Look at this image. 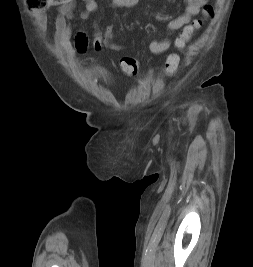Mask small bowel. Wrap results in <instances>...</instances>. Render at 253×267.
Here are the masks:
<instances>
[{"mask_svg":"<svg viewBox=\"0 0 253 267\" xmlns=\"http://www.w3.org/2000/svg\"><path fill=\"white\" fill-rule=\"evenodd\" d=\"M110 5L117 8L133 9L138 6L139 0H108ZM84 10L80 14L82 20H86L98 8L96 0H82ZM184 12L169 20L165 24L167 31H175L184 26L189 25L193 18L196 17L207 4V0H184ZM76 0H67V2L58 10L55 18V45L59 52L73 57L76 53H83L87 50L89 40L84 31H78L74 39H72L71 21L74 17ZM36 22L38 27L43 30L47 24V15L44 12L36 14ZM106 33L113 34L112 28L108 27ZM171 40L166 38L163 40H153L149 43V49L154 54H162L169 50ZM110 49L113 51H124L126 48L117 43H112Z\"/></svg>","mask_w":253,"mask_h":267,"instance_id":"c3829d8e","label":"small bowel"}]
</instances>
